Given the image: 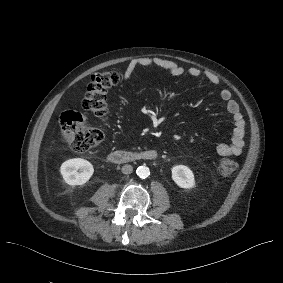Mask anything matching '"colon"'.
I'll list each match as a JSON object with an SVG mask.
<instances>
[{
  "label": "colon",
  "mask_w": 283,
  "mask_h": 283,
  "mask_svg": "<svg viewBox=\"0 0 283 283\" xmlns=\"http://www.w3.org/2000/svg\"><path fill=\"white\" fill-rule=\"evenodd\" d=\"M121 80L118 71H103L92 76L82 100L84 110L104 118L108 111L107 93ZM60 129L63 139L77 152H86L96 148L103 139L99 128L91 127L87 118L80 112L67 110L60 116ZM238 169L236 161L223 159L216 167V173L221 177H230Z\"/></svg>",
  "instance_id": "obj_1"
}]
</instances>
